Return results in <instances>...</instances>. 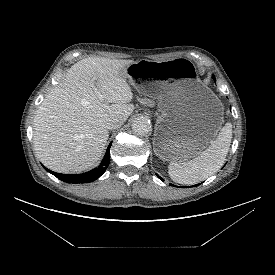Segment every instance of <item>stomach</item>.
<instances>
[{"label": "stomach", "instance_id": "obj_1", "mask_svg": "<svg viewBox=\"0 0 275 275\" xmlns=\"http://www.w3.org/2000/svg\"><path fill=\"white\" fill-rule=\"evenodd\" d=\"M123 74L136 90L159 101L154 148L160 159L188 160L213 142L223 122V107L200 82L190 60L144 59L131 63Z\"/></svg>", "mask_w": 275, "mask_h": 275}]
</instances>
